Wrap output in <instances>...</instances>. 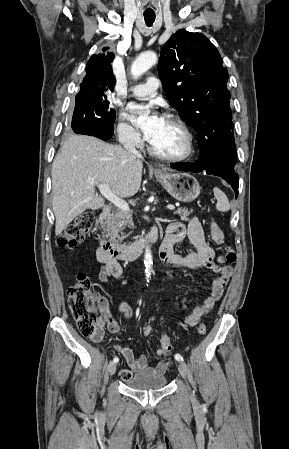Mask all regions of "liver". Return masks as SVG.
Wrapping results in <instances>:
<instances>
[{
    "instance_id": "6515ba94",
    "label": "liver",
    "mask_w": 289,
    "mask_h": 449,
    "mask_svg": "<svg viewBox=\"0 0 289 449\" xmlns=\"http://www.w3.org/2000/svg\"><path fill=\"white\" fill-rule=\"evenodd\" d=\"M143 164L118 145L92 136L72 135L52 164V207L55 234L62 231L85 210L104 206L95 194L97 184H107L120 197H131L140 189Z\"/></svg>"
}]
</instances>
